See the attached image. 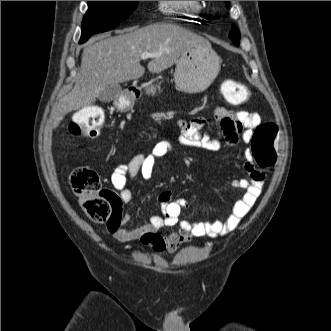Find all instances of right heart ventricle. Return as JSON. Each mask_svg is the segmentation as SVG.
<instances>
[{
  "label": "right heart ventricle",
  "mask_w": 331,
  "mask_h": 331,
  "mask_svg": "<svg viewBox=\"0 0 331 331\" xmlns=\"http://www.w3.org/2000/svg\"><path fill=\"white\" fill-rule=\"evenodd\" d=\"M159 8L166 14H180L195 19L201 11L199 1H159Z\"/></svg>",
  "instance_id": "1"
}]
</instances>
